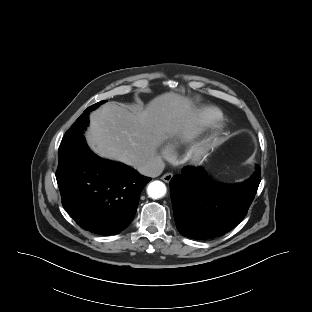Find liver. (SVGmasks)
Segmentation results:
<instances>
[{
    "label": "liver",
    "mask_w": 312,
    "mask_h": 312,
    "mask_svg": "<svg viewBox=\"0 0 312 312\" xmlns=\"http://www.w3.org/2000/svg\"><path fill=\"white\" fill-rule=\"evenodd\" d=\"M194 121L192 101L168 92L138 112H130L115 102L104 104L90 114L85 138L98 156L136 167L157 156V149L165 140L191 130Z\"/></svg>",
    "instance_id": "liver-1"
}]
</instances>
